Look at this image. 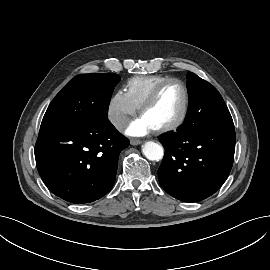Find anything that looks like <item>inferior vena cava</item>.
<instances>
[{
	"label": "inferior vena cava",
	"instance_id": "obj_1",
	"mask_svg": "<svg viewBox=\"0 0 270 270\" xmlns=\"http://www.w3.org/2000/svg\"><path fill=\"white\" fill-rule=\"evenodd\" d=\"M127 123H128V119L126 117H122L115 123V126L118 129H122L127 125Z\"/></svg>",
	"mask_w": 270,
	"mask_h": 270
}]
</instances>
